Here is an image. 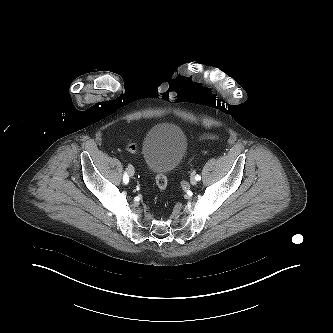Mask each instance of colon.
I'll return each instance as SVG.
<instances>
[{"instance_id":"obj_1","label":"colon","mask_w":333,"mask_h":333,"mask_svg":"<svg viewBox=\"0 0 333 333\" xmlns=\"http://www.w3.org/2000/svg\"><path fill=\"white\" fill-rule=\"evenodd\" d=\"M208 138L214 139V137H208ZM128 150L136 153V152H138V147L135 144H130V145H128ZM155 180H156V184H157V187L159 188V190L161 192H164L167 189V185H168L166 176L162 173H157Z\"/></svg>"}]
</instances>
